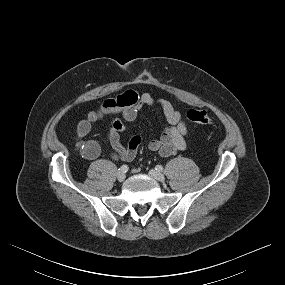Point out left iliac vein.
<instances>
[{"mask_svg": "<svg viewBox=\"0 0 285 285\" xmlns=\"http://www.w3.org/2000/svg\"><path fill=\"white\" fill-rule=\"evenodd\" d=\"M149 175L160 182H163L165 180V176L161 172H158L154 169L149 171Z\"/></svg>", "mask_w": 285, "mask_h": 285, "instance_id": "4c4485c4", "label": "left iliac vein"}]
</instances>
